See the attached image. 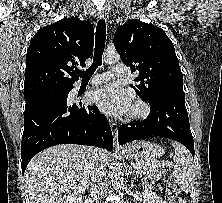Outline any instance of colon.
Instances as JSON below:
<instances>
[{"instance_id":"colon-1","label":"colon","mask_w":222,"mask_h":203,"mask_svg":"<svg viewBox=\"0 0 222 203\" xmlns=\"http://www.w3.org/2000/svg\"><path fill=\"white\" fill-rule=\"evenodd\" d=\"M169 186H170V188L172 189V191L174 192V194L176 195V197H178L177 184H176L173 180H171V181L169 182Z\"/></svg>"}]
</instances>
